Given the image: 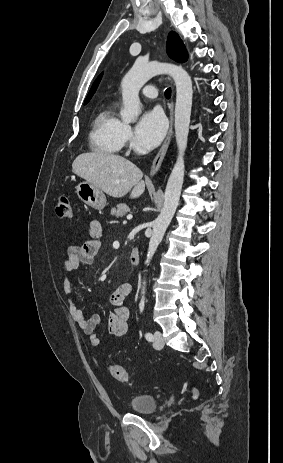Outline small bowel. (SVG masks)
Returning <instances> with one entry per match:
<instances>
[{
	"label": "small bowel",
	"mask_w": 283,
	"mask_h": 463,
	"mask_svg": "<svg viewBox=\"0 0 283 463\" xmlns=\"http://www.w3.org/2000/svg\"><path fill=\"white\" fill-rule=\"evenodd\" d=\"M102 225L98 220L89 223L90 238L80 246H70L66 250V259L62 266L63 291L69 305V311L89 339L92 346H98L100 338L97 330L101 327L102 321L98 314L87 316L72 289V272L80 264L91 265L94 262L100 248V237ZM132 285L128 282L120 284L111 294L110 302L113 311L108 317L107 334L110 336L122 337L129 332L130 311L124 305L125 299L131 294Z\"/></svg>",
	"instance_id": "small-bowel-1"
}]
</instances>
